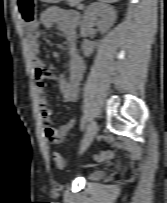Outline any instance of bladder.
I'll use <instances>...</instances> for the list:
<instances>
[{"label": "bladder", "instance_id": "bladder-1", "mask_svg": "<svg viewBox=\"0 0 167 203\" xmlns=\"http://www.w3.org/2000/svg\"><path fill=\"white\" fill-rule=\"evenodd\" d=\"M105 177V172L103 170H93L87 176L88 181H98Z\"/></svg>", "mask_w": 167, "mask_h": 203}]
</instances>
